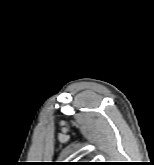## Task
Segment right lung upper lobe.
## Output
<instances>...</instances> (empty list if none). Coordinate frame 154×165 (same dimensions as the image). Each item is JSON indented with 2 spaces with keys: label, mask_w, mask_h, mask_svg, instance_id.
I'll return each mask as SVG.
<instances>
[{
  "label": "right lung upper lobe",
  "mask_w": 154,
  "mask_h": 165,
  "mask_svg": "<svg viewBox=\"0 0 154 165\" xmlns=\"http://www.w3.org/2000/svg\"><path fill=\"white\" fill-rule=\"evenodd\" d=\"M79 165H88L87 162H77Z\"/></svg>",
  "instance_id": "cb5924a9"
}]
</instances>
